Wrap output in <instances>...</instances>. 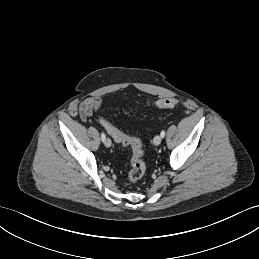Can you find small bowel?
<instances>
[{"label":"small bowel","mask_w":259,"mask_h":259,"mask_svg":"<svg viewBox=\"0 0 259 259\" xmlns=\"http://www.w3.org/2000/svg\"><path fill=\"white\" fill-rule=\"evenodd\" d=\"M100 105H101L100 99L91 98V99L86 100L83 103V107H82L83 117L86 119V118L92 116L98 110Z\"/></svg>","instance_id":"1"}]
</instances>
